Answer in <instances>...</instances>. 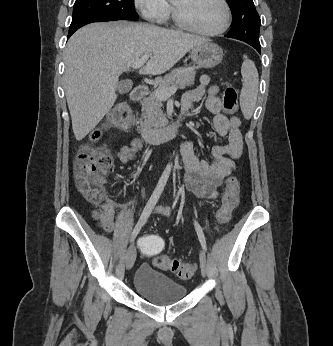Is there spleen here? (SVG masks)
I'll list each match as a JSON object with an SVG mask.
<instances>
[{
	"instance_id": "spleen-1",
	"label": "spleen",
	"mask_w": 333,
	"mask_h": 346,
	"mask_svg": "<svg viewBox=\"0 0 333 346\" xmlns=\"http://www.w3.org/2000/svg\"><path fill=\"white\" fill-rule=\"evenodd\" d=\"M243 77V87L240 94V106L245 118H251L257 101L259 75L253 61L244 55V62L241 67Z\"/></svg>"
}]
</instances>
